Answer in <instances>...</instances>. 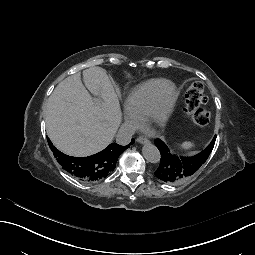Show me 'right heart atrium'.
Listing matches in <instances>:
<instances>
[{"label": "right heart atrium", "mask_w": 255, "mask_h": 255, "mask_svg": "<svg viewBox=\"0 0 255 255\" xmlns=\"http://www.w3.org/2000/svg\"><path fill=\"white\" fill-rule=\"evenodd\" d=\"M124 120H125V124L126 125L132 126V122H131V120L128 117H125Z\"/></svg>", "instance_id": "obj_1"}]
</instances>
